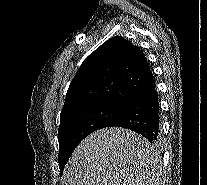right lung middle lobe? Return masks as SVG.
I'll return each instance as SVG.
<instances>
[{
	"label": "right lung middle lobe",
	"instance_id": "1",
	"mask_svg": "<svg viewBox=\"0 0 207 185\" xmlns=\"http://www.w3.org/2000/svg\"><path fill=\"white\" fill-rule=\"evenodd\" d=\"M121 107L110 104L91 107L74 113L59 126V164L62 175L65 164L77 145L92 132L104 128L119 114Z\"/></svg>",
	"mask_w": 207,
	"mask_h": 185
}]
</instances>
